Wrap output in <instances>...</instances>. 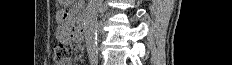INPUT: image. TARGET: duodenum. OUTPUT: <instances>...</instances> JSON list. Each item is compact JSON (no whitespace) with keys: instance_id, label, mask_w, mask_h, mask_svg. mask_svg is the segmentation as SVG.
I'll return each mask as SVG.
<instances>
[{"instance_id":"obj_1","label":"duodenum","mask_w":232,"mask_h":65,"mask_svg":"<svg viewBox=\"0 0 232 65\" xmlns=\"http://www.w3.org/2000/svg\"><path fill=\"white\" fill-rule=\"evenodd\" d=\"M85 34H86L85 25H84L83 22H81V23L78 25V29H77L78 40H79L80 42L84 41Z\"/></svg>"}]
</instances>
